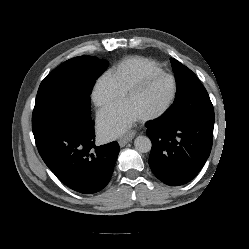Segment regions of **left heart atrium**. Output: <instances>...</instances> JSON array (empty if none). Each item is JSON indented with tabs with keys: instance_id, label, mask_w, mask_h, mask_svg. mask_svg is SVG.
<instances>
[{
	"instance_id": "1",
	"label": "left heart atrium",
	"mask_w": 249,
	"mask_h": 249,
	"mask_svg": "<svg viewBox=\"0 0 249 249\" xmlns=\"http://www.w3.org/2000/svg\"><path fill=\"white\" fill-rule=\"evenodd\" d=\"M139 116L125 103H117L99 114L100 131L105 137H115L125 132Z\"/></svg>"
}]
</instances>
